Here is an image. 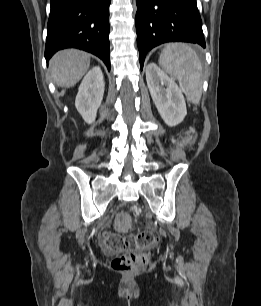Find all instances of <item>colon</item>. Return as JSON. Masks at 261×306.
Segmentation results:
<instances>
[{
  "instance_id": "1",
  "label": "colon",
  "mask_w": 261,
  "mask_h": 306,
  "mask_svg": "<svg viewBox=\"0 0 261 306\" xmlns=\"http://www.w3.org/2000/svg\"><path fill=\"white\" fill-rule=\"evenodd\" d=\"M114 225L118 233H104L105 246L124 253L112 260L111 268L125 273L143 271L148 265V255L139 250L152 246L157 240L156 235L151 230L128 233L133 227V219L127 212L118 213Z\"/></svg>"
}]
</instances>
